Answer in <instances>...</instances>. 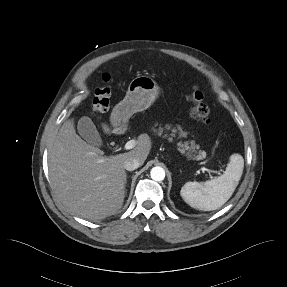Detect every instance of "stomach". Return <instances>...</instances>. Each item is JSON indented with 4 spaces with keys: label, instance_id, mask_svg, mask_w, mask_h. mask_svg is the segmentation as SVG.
<instances>
[{
    "label": "stomach",
    "instance_id": "obj_1",
    "mask_svg": "<svg viewBox=\"0 0 287 287\" xmlns=\"http://www.w3.org/2000/svg\"><path fill=\"white\" fill-rule=\"evenodd\" d=\"M159 92L157 82L151 77L142 75L134 78L128 86L125 98L113 108L111 113L110 121L114 132H120L134 113L149 108Z\"/></svg>",
    "mask_w": 287,
    "mask_h": 287
}]
</instances>
